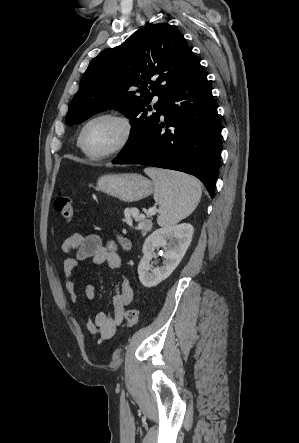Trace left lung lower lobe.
I'll use <instances>...</instances> for the list:
<instances>
[{"mask_svg":"<svg viewBox=\"0 0 299 443\" xmlns=\"http://www.w3.org/2000/svg\"><path fill=\"white\" fill-rule=\"evenodd\" d=\"M164 122H160V116ZM221 128L211 88L198 63L167 94L152 126L113 164H142L194 175L214 196Z\"/></svg>","mask_w":299,"mask_h":443,"instance_id":"0a47b994","label":"left lung lower lobe"}]
</instances>
